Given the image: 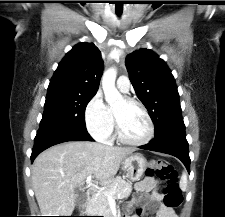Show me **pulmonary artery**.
I'll return each instance as SVG.
<instances>
[{
  "instance_id": "e3ab8cb5",
  "label": "pulmonary artery",
  "mask_w": 225,
  "mask_h": 217,
  "mask_svg": "<svg viewBox=\"0 0 225 217\" xmlns=\"http://www.w3.org/2000/svg\"><path fill=\"white\" fill-rule=\"evenodd\" d=\"M117 88L124 93H127L130 88V81L126 76H120L116 82Z\"/></svg>"
}]
</instances>
